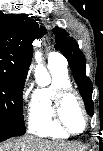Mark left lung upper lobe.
Instances as JSON below:
<instances>
[{
  "mask_svg": "<svg viewBox=\"0 0 103 151\" xmlns=\"http://www.w3.org/2000/svg\"><path fill=\"white\" fill-rule=\"evenodd\" d=\"M55 49L59 50L68 60L74 80L79 87V91L84 100L87 113L93 114L94 104L92 101L93 84L86 76V60L80 51L77 42L69 36L64 29L55 27Z\"/></svg>",
  "mask_w": 103,
  "mask_h": 151,
  "instance_id": "left-lung-upper-lobe-1",
  "label": "left lung upper lobe"
}]
</instances>
